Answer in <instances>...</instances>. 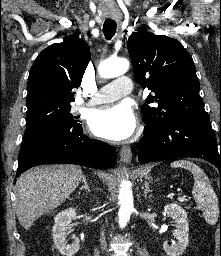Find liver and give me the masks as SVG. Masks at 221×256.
<instances>
[{
	"instance_id": "1",
	"label": "liver",
	"mask_w": 221,
	"mask_h": 256,
	"mask_svg": "<svg viewBox=\"0 0 221 256\" xmlns=\"http://www.w3.org/2000/svg\"><path fill=\"white\" fill-rule=\"evenodd\" d=\"M82 178L81 167L68 164L38 166L20 175L16 213L21 226L28 230L39 217L61 205Z\"/></svg>"
}]
</instances>
